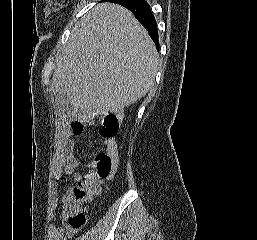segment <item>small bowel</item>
<instances>
[{"label":"small bowel","instance_id":"c3829d8e","mask_svg":"<svg viewBox=\"0 0 257 240\" xmlns=\"http://www.w3.org/2000/svg\"><path fill=\"white\" fill-rule=\"evenodd\" d=\"M79 134L72 132L67 127H62L57 132L53 166V181L55 186L60 184L63 175H73L77 182L82 178V174L76 170L84 165L74 155V137ZM104 145L108 154L116 160L118 157V148L115 139L105 140ZM71 190L69 188L60 199H55L52 202L49 213L50 220L53 219L59 209V201L64 202ZM47 232L48 240H66L67 237L73 236L76 231L69 228L66 224L58 226L55 223H50Z\"/></svg>","mask_w":257,"mask_h":240}]
</instances>
